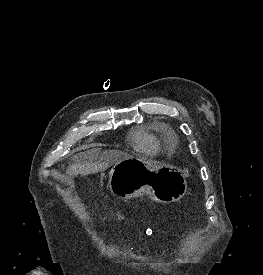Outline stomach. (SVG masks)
<instances>
[{"mask_svg":"<svg viewBox=\"0 0 263 275\" xmlns=\"http://www.w3.org/2000/svg\"><path fill=\"white\" fill-rule=\"evenodd\" d=\"M108 187L113 196L120 199L148 195L158 203L178 201L187 192L186 179L180 172L132 156L113 166Z\"/></svg>","mask_w":263,"mask_h":275,"instance_id":"0dacf381","label":"stomach"}]
</instances>
